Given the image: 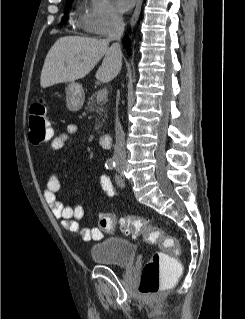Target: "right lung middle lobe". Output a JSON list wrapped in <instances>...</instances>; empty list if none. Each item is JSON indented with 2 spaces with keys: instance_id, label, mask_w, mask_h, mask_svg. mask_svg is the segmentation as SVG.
Returning <instances> with one entry per match:
<instances>
[{
  "instance_id": "dd1d6c3e",
  "label": "right lung middle lobe",
  "mask_w": 245,
  "mask_h": 319,
  "mask_svg": "<svg viewBox=\"0 0 245 319\" xmlns=\"http://www.w3.org/2000/svg\"><path fill=\"white\" fill-rule=\"evenodd\" d=\"M72 1H73V0H67L66 8H65L64 13H66V12L68 11V9H69V7H70V5H71Z\"/></svg>"
}]
</instances>
